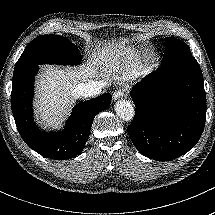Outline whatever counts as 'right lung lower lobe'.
<instances>
[{
  "label": "right lung lower lobe",
  "mask_w": 215,
  "mask_h": 215,
  "mask_svg": "<svg viewBox=\"0 0 215 215\" xmlns=\"http://www.w3.org/2000/svg\"><path fill=\"white\" fill-rule=\"evenodd\" d=\"M38 69V65L29 66L13 74L11 107L17 129L25 143L40 155L70 159L84 149L94 117L110 105L112 95L105 93L77 104L63 131L46 133L33 122V82Z\"/></svg>",
  "instance_id": "right-lung-lower-lobe-1"
}]
</instances>
